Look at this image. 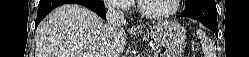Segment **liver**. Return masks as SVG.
<instances>
[{
    "mask_svg": "<svg viewBox=\"0 0 249 57\" xmlns=\"http://www.w3.org/2000/svg\"><path fill=\"white\" fill-rule=\"evenodd\" d=\"M126 40L123 28L110 32L93 11L64 4L38 26L35 57H120Z\"/></svg>",
    "mask_w": 249,
    "mask_h": 57,
    "instance_id": "6515ba94",
    "label": "liver"
}]
</instances>
